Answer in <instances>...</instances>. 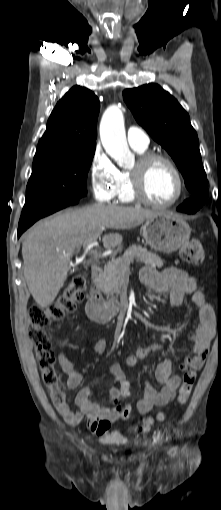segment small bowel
Wrapping results in <instances>:
<instances>
[{
  "label": "small bowel",
  "instance_id": "small-bowel-1",
  "mask_svg": "<svg viewBox=\"0 0 221 510\" xmlns=\"http://www.w3.org/2000/svg\"><path fill=\"white\" fill-rule=\"evenodd\" d=\"M142 283L156 291H168L171 295V303L177 306L186 294L192 296L193 302L198 307V317L196 328L191 336L192 354L187 357L181 365L183 372L200 370L207 358L210 342L215 335V315L212 307L205 300L204 287L198 279L191 276L186 271L175 267L156 269L145 267L141 270ZM93 349L98 354H103L106 350V341H97ZM163 349L160 343H152L137 349L126 358V365L134 367L138 361L148 355L159 352ZM58 363L61 370L67 375L66 386L69 389L78 388L82 381V374L75 369L74 365L68 359L64 351L58 355ZM113 381L108 388V396L118 397L128 395L130 384L126 379L124 371L119 364L111 366ZM155 383L161 385L158 390ZM180 384V377L172 374V362L164 360L157 364L153 373V380H147L144 387L143 396L138 399L136 409L139 414H147L154 406H164L175 397ZM93 392L89 387L81 388L75 402L79 407L78 411H73L69 404H65L58 409L63 419L72 426H77L86 417L87 429L94 435L105 436L109 431L110 424L122 418V407L116 405L112 408L104 407L98 401L92 398ZM129 414L131 407L126 406Z\"/></svg>",
  "mask_w": 221,
  "mask_h": 510
}]
</instances>
